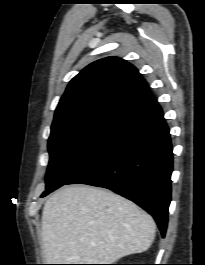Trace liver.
Masks as SVG:
<instances>
[{"label": "liver", "mask_w": 205, "mask_h": 265, "mask_svg": "<svg viewBox=\"0 0 205 265\" xmlns=\"http://www.w3.org/2000/svg\"><path fill=\"white\" fill-rule=\"evenodd\" d=\"M41 226L47 264H112L148 250L156 228L132 201L86 185L63 187L48 198Z\"/></svg>", "instance_id": "liver-1"}]
</instances>
